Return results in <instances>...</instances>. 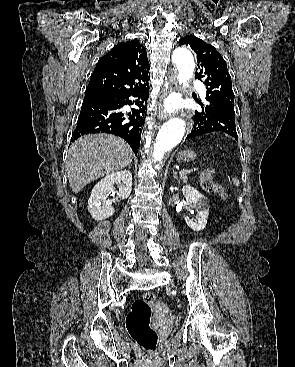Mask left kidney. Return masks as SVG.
<instances>
[{"label": "left kidney", "instance_id": "left-kidney-1", "mask_svg": "<svg viewBox=\"0 0 295 367\" xmlns=\"http://www.w3.org/2000/svg\"><path fill=\"white\" fill-rule=\"evenodd\" d=\"M170 190H173V187H171ZM182 192L186 198L187 203L190 205L193 204L196 207L198 215V218L196 220L190 219L188 216H185L184 220L186 224L194 231L203 230L207 224L210 207L209 200L197 189L191 187L190 185L183 186Z\"/></svg>", "mask_w": 295, "mask_h": 367}]
</instances>
